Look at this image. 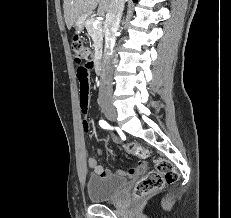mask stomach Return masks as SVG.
<instances>
[{
	"instance_id": "1",
	"label": "stomach",
	"mask_w": 231,
	"mask_h": 218,
	"mask_svg": "<svg viewBox=\"0 0 231 218\" xmlns=\"http://www.w3.org/2000/svg\"><path fill=\"white\" fill-rule=\"evenodd\" d=\"M85 19H86L85 16H81L75 21V23L73 25H74V27H75V29L77 31H82L83 30Z\"/></svg>"
}]
</instances>
